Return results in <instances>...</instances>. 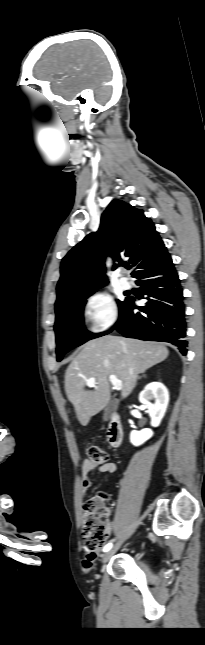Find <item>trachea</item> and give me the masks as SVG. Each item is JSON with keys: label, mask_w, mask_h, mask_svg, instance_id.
<instances>
[{"label": "trachea", "mask_w": 205, "mask_h": 645, "mask_svg": "<svg viewBox=\"0 0 205 645\" xmlns=\"http://www.w3.org/2000/svg\"><path fill=\"white\" fill-rule=\"evenodd\" d=\"M124 267H125L126 269H129V268H130V266H129L128 264H125V266H124Z\"/></svg>", "instance_id": "obj_1"}]
</instances>
